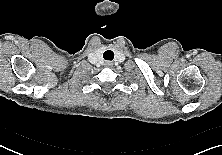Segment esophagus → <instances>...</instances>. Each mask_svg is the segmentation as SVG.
Instances as JSON below:
<instances>
[{
	"mask_svg": "<svg viewBox=\"0 0 222 155\" xmlns=\"http://www.w3.org/2000/svg\"><path fill=\"white\" fill-rule=\"evenodd\" d=\"M104 65H105V67L110 68L113 66V63L111 61H106Z\"/></svg>",
	"mask_w": 222,
	"mask_h": 155,
	"instance_id": "1",
	"label": "esophagus"
}]
</instances>
